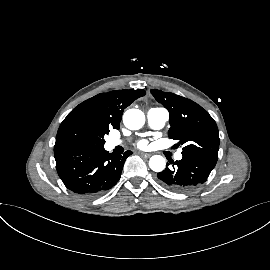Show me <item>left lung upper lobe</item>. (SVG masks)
<instances>
[{
  "instance_id": "obj_1",
  "label": "left lung upper lobe",
  "mask_w": 270,
  "mask_h": 270,
  "mask_svg": "<svg viewBox=\"0 0 270 270\" xmlns=\"http://www.w3.org/2000/svg\"><path fill=\"white\" fill-rule=\"evenodd\" d=\"M151 94L169 111L168 136L184 145L182 155L195 156L215 165L220 139L209 113L192 100L174 93L152 89Z\"/></svg>"
}]
</instances>
